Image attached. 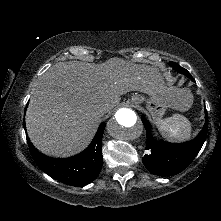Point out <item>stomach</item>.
Wrapping results in <instances>:
<instances>
[{"label": "stomach", "mask_w": 221, "mask_h": 221, "mask_svg": "<svg viewBox=\"0 0 221 221\" xmlns=\"http://www.w3.org/2000/svg\"><path fill=\"white\" fill-rule=\"evenodd\" d=\"M166 95L177 96L179 98L182 111H185L191 105V101H190L191 96L189 92L187 91H181L175 88L167 87ZM131 102L133 104H139V103L145 102L147 110L149 111V113L151 114L152 118L155 121L160 120L165 114L166 110L169 108V105L166 99L161 96L148 95V97H145L143 95L135 93L131 98Z\"/></svg>", "instance_id": "1"}]
</instances>
